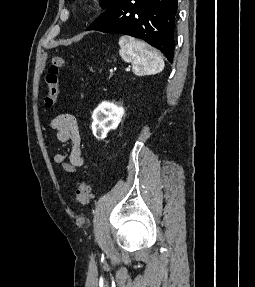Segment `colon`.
Listing matches in <instances>:
<instances>
[{
	"label": "colon",
	"mask_w": 255,
	"mask_h": 287,
	"mask_svg": "<svg viewBox=\"0 0 255 287\" xmlns=\"http://www.w3.org/2000/svg\"><path fill=\"white\" fill-rule=\"evenodd\" d=\"M66 66V60L59 55L53 56L50 67L45 76V84L47 86V93L44 101L47 107H51L55 104L59 93V73ZM90 186L81 181L76 190L77 200L84 206L88 205L91 200Z\"/></svg>",
	"instance_id": "obj_1"
}]
</instances>
